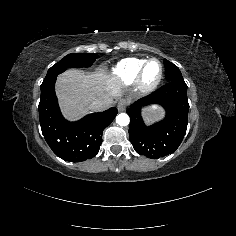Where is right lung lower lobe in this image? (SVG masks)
I'll list each match as a JSON object with an SVG mask.
<instances>
[{
    "label": "right lung lower lobe",
    "instance_id": "right-lung-lower-lobe-1",
    "mask_svg": "<svg viewBox=\"0 0 236 236\" xmlns=\"http://www.w3.org/2000/svg\"><path fill=\"white\" fill-rule=\"evenodd\" d=\"M60 73L46 75L41 84L39 118L42 134L53 152L70 162L94 157L102 143L103 130L114 120L115 107L93 113L76 122L65 120L55 95V81Z\"/></svg>",
    "mask_w": 236,
    "mask_h": 236
}]
</instances>
